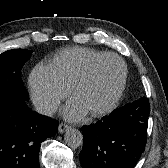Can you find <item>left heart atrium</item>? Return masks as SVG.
Returning a JSON list of instances; mask_svg holds the SVG:
<instances>
[{"mask_svg": "<svg viewBox=\"0 0 168 168\" xmlns=\"http://www.w3.org/2000/svg\"><path fill=\"white\" fill-rule=\"evenodd\" d=\"M86 106L77 98L73 97L63 108L62 113L69 120H80L88 113Z\"/></svg>", "mask_w": 168, "mask_h": 168, "instance_id": "obj_1", "label": "left heart atrium"}]
</instances>
